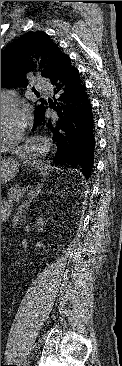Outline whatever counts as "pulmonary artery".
<instances>
[{
  "label": "pulmonary artery",
  "instance_id": "pulmonary-artery-1",
  "mask_svg": "<svg viewBox=\"0 0 122 366\" xmlns=\"http://www.w3.org/2000/svg\"><path fill=\"white\" fill-rule=\"evenodd\" d=\"M34 79V82H35V85L38 86V87H42L44 86V83L42 80L38 79V78H33Z\"/></svg>",
  "mask_w": 122,
  "mask_h": 366
}]
</instances>
